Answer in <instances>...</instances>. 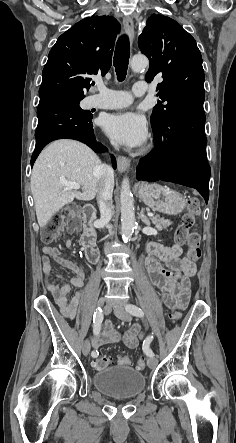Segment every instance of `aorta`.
Returning <instances> with one entry per match:
<instances>
[{"instance_id":"aorta-1","label":"aorta","mask_w":236,"mask_h":443,"mask_svg":"<svg viewBox=\"0 0 236 443\" xmlns=\"http://www.w3.org/2000/svg\"><path fill=\"white\" fill-rule=\"evenodd\" d=\"M148 59L145 56L136 55L131 59V67L134 71H140L146 68ZM121 202V234L127 241L131 238L135 226L134 200L130 190L129 179L125 177L122 181L120 191Z\"/></svg>"}]
</instances>
